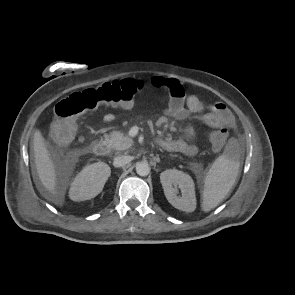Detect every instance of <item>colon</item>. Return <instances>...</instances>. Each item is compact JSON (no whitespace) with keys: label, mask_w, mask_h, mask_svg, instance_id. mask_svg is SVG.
Instances as JSON below:
<instances>
[{"label":"colon","mask_w":295,"mask_h":295,"mask_svg":"<svg viewBox=\"0 0 295 295\" xmlns=\"http://www.w3.org/2000/svg\"><path fill=\"white\" fill-rule=\"evenodd\" d=\"M143 89L142 81L126 78L72 93L56 105V118L51 129L53 139L58 144L69 143L76 131V120L82 114L106 105L126 107ZM227 138L225 129L215 130L209 135L213 147L218 150L224 147Z\"/></svg>","instance_id":"obj_1"}]
</instances>
